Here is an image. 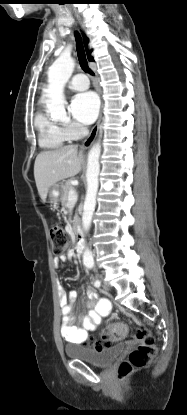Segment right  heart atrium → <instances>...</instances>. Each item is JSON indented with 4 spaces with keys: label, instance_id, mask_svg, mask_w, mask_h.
Wrapping results in <instances>:
<instances>
[{
    "label": "right heart atrium",
    "instance_id": "1",
    "mask_svg": "<svg viewBox=\"0 0 187 415\" xmlns=\"http://www.w3.org/2000/svg\"><path fill=\"white\" fill-rule=\"evenodd\" d=\"M62 127L69 140H74L83 133V128L75 122L65 123Z\"/></svg>",
    "mask_w": 187,
    "mask_h": 415
}]
</instances>
